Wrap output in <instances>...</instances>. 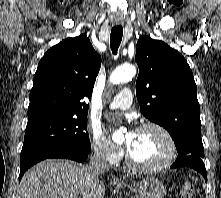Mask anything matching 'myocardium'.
Instances as JSON below:
<instances>
[{
	"instance_id": "obj_1",
	"label": "myocardium",
	"mask_w": 221,
	"mask_h": 198,
	"mask_svg": "<svg viewBox=\"0 0 221 198\" xmlns=\"http://www.w3.org/2000/svg\"><path fill=\"white\" fill-rule=\"evenodd\" d=\"M145 129H155L159 131L164 138L167 141L168 144V153L166 157L158 164L155 165H150V166H144L136 163L132 157L130 156L129 152L126 151L125 153V162L130 167L132 170L140 173H157L161 172L165 169H167L174 161L176 154H177V146L176 142L171 135V133L161 124L156 123V122H145L140 124L137 128L136 131H142Z\"/></svg>"
}]
</instances>
